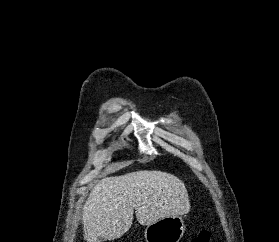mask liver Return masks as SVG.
Returning a JSON list of instances; mask_svg holds the SVG:
<instances>
[{"instance_id": "6515ba94", "label": "liver", "mask_w": 279, "mask_h": 242, "mask_svg": "<svg viewBox=\"0 0 279 242\" xmlns=\"http://www.w3.org/2000/svg\"><path fill=\"white\" fill-rule=\"evenodd\" d=\"M184 183L162 171H136L105 177L91 190L84 205L82 224L84 239L114 240L126 233L136 218L149 225L161 218L190 211Z\"/></svg>"}]
</instances>
